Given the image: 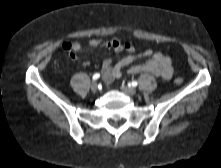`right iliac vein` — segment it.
I'll list each match as a JSON object with an SVG mask.
<instances>
[{
  "instance_id": "obj_1",
  "label": "right iliac vein",
  "mask_w": 221,
  "mask_h": 168,
  "mask_svg": "<svg viewBox=\"0 0 221 168\" xmlns=\"http://www.w3.org/2000/svg\"><path fill=\"white\" fill-rule=\"evenodd\" d=\"M91 90H92L93 92H96V91L98 90V84H97L96 82H93V83L91 84Z\"/></svg>"
}]
</instances>
